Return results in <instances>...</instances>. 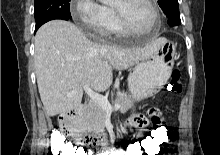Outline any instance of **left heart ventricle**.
I'll return each instance as SVG.
<instances>
[{
	"label": "left heart ventricle",
	"mask_w": 220,
	"mask_h": 155,
	"mask_svg": "<svg viewBox=\"0 0 220 155\" xmlns=\"http://www.w3.org/2000/svg\"><path fill=\"white\" fill-rule=\"evenodd\" d=\"M114 7L120 8L129 24L135 29H146L152 22V13L145 0H117Z\"/></svg>",
	"instance_id": "obj_1"
}]
</instances>
